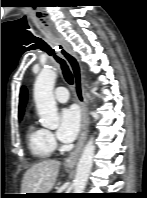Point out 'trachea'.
<instances>
[{"mask_svg": "<svg viewBox=\"0 0 147 198\" xmlns=\"http://www.w3.org/2000/svg\"><path fill=\"white\" fill-rule=\"evenodd\" d=\"M43 49L48 53V55H53L55 60L61 65V69H62V72H63V76L65 78V80L70 84L72 85L73 84V75L71 73V71L69 70L66 62L58 57L55 52L52 50L51 47L49 46H44Z\"/></svg>", "mask_w": 147, "mask_h": 198, "instance_id": "1", "label": "trachea"}]
</instances>
